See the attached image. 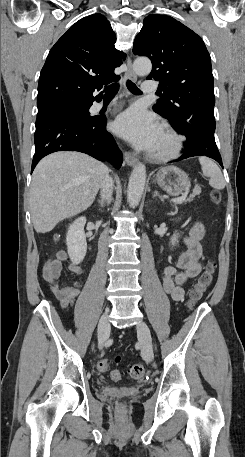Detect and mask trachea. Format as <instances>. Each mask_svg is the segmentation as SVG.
<instances>
[{"mask_svg":"<svg viewBox=\"0 0 245 457\" xmlns=\"http://www.w3.org/2000/svg\"><path fill=\"white\" fill-rule=\"evenodd\" d=\"M128 90L135 95L141 94V90L133 83L131 80L126 82ZM120 84H112L105 89V97H115L116 93L119 90Z\"/></svg>","mask_w":245,"mask_h":457,"instance_id":"1","label":"trachea"}]
</instances>
